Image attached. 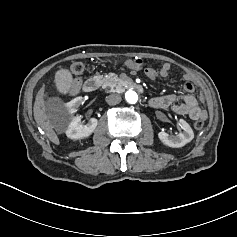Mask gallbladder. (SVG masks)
<instances>
[{
    "instance_id": "gallbladder-1",
    "label": "gallbladder",
    "mask_w": 237,
    "mask_h": 237,
    "mask_svg": "<svg viewBox=\"0 0 237 237\" xmlns=\"http://www.w3.org/2000/svg\"><path fill=\"white\" fill-rule=\"evenodd\" d=\"M55 88L60 94H67L71 90L73 76L69 69L59 68L55 72Z\"/></svg>"
}]
</instances>
